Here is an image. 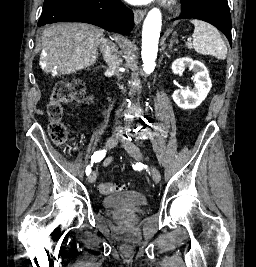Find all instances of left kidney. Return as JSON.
<instances>
[{
  "label": "left kidney",
  "mask_w": 256,
  "mask_h": 267,
  "mask_svg": "<svg viewBox=\"0 0 256 267\" xmlns=\"http://www.w3.org/2000/svg\"><path fill=\"white\" fill-rule=\"evenodd\" d=\"M185 68L195 72L194 90H175L173 92V100L179 108L183 110H192L200 106L201 102L205 100L208 92L212 88L211 80L209 78L208 70L199 60H192V58H177L172 64L173 74H182Z\"/></svg>",
  "instance_id": "5707ae66"
}]
</instances>
